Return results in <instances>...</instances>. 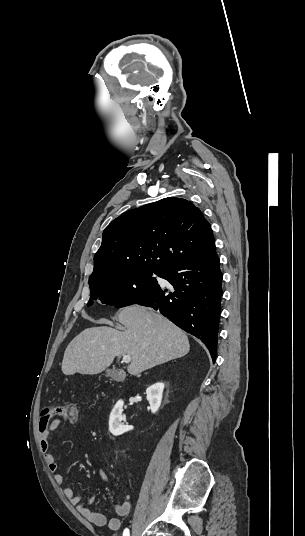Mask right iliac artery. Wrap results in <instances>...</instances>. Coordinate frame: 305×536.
Masks as SVG:
<instances>
[{"instance_id": "right-iliac-artery-1", "label": "right iliac artery", "mask_w": 305, "mask_h": 536, "mask_svg": "<svg viewBox=\"0 0 305 536\" xmlns=\"http://www.w3.org/2000/svg\"><path fill=\"white\" fill-rule=\"evenodd\" d=\"M123 536H130V534H129V529H128V528H126V529L124 530V532H123Z\"/></svg>"}]
</instances>
